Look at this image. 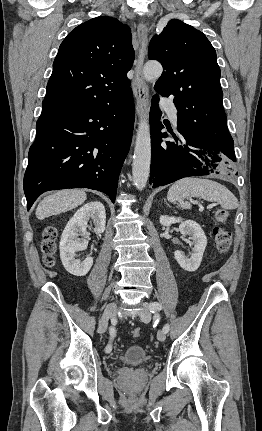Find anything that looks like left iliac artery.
<instances>
[{
    "instance_id": "1",
    "label": "left iliac artery",
    "mask_w": 262,
    "mask_h": 431,
    "mask_svg": "<svg viewBox=\"0 0 262 431\" xmlns=\"http://www.w3.org/2000/svg\"><path fill=\"white\" fill-rule=\"evenodd\" d=\"M149 309H150V312L156 313L157 311L162 309V306L158 302H152L149 305ZM169 329H170V326L168 324H165V326L163 327V331L167 333Z\"/></svg>"
}]
</instances>
